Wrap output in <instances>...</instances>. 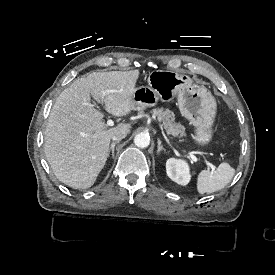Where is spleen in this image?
<instances>
[{"instance_id": "obj_1", "label": "spleen", "mask_w": 275, "mask_h": 275, "mask_svg": "<svg viewBox=\"0 0 275 275\" xmlns=\"http://www.w3.org/2000/svg\"><path fill=\"white\" fill-rule=\"evenodd\" d=\"M234 169L228 162H221L215 171L201 170L196 178V189L200 195L223 189L233 178Z\"/></svg>"}]
</instances>
